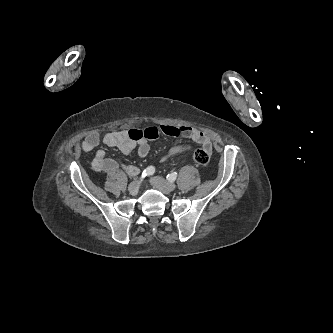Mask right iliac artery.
<instances>
[{
    "label": "right iliac artery",
    "mask_w": 333,
    "mask_h": 333,
    "mask_svg": "<svg viewBox=\"0 0 333 333\" xmlns=\"http://www.w3.org/2000/svg\"><path fill=\"white\" fill-rule=\"evenodd\" d=\"M154 172H155V168L153 166H149L143 171L142 177L144 178L146 176H150V175L154 174Z\"/></svg>",
    "instance_id": "82829eb1"
}]
</instances>
